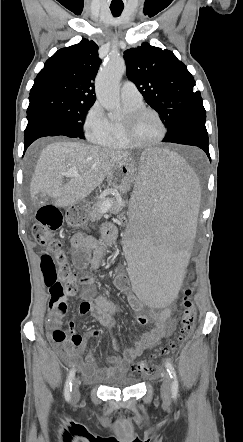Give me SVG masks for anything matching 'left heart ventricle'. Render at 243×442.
<instances>
[{
	"label": "left heart ventricle",
	"instance_id": "left-heart-ventricle-1",
	"mask_svg": "<svg viewBox=\"0 0 243 442\" xmlns=\"http://www.w3.org/2000/svg\"><path fill=\"white\" fill-rule=\"evenodd\" d=\"M160 133L161 126L157 118L151 113H146L135 123L133 138L141 143H149L156 140Z\"/></svg>",
	"mask_w": 243,
	"mask_h": 442
}]
</instances>
